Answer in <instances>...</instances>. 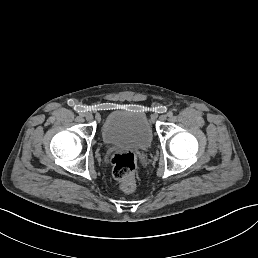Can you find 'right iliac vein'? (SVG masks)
<instances>
[{"mask_svg": "<svg viewBox=\"0 0 258 258\" xmlns=\"http://www.w3.org/2000/svg\"><path fill=\"white\" fill-rule=\"evenodd\" d=\"M84 117H85V119H86L87 121H92V117H93V116H92L91 113L88 112V113L85 114Z\"/></svg>", "mask_w": 258, "mask_h": 258, "instance_id": "63e3f726", "label": "right iliac vein"}]
</instances>
